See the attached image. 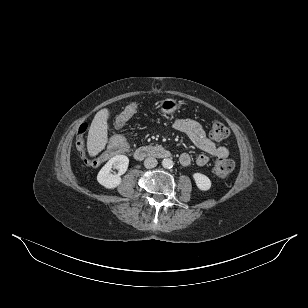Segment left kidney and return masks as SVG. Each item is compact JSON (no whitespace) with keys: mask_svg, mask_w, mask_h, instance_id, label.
Returning <instances> with one entry per match:
<instances>
[{"mask_svg":"<svg viewBox=\"0 0 308 308\" xmlns=\"http://www.w3.org/2000/svg\"><path fill=\"white\" fill-rule=\"evenodd\" d=\"M193 178L197 187L202 191H207L211 188V181L210 179L201 173H194Z\"/></svg>","mask_w":308,"mask_h":308,"instance_id":"left-kidney-1","label":"left kidney"}]
</instances>
